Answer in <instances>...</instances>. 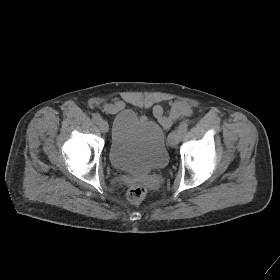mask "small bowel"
<instances>
[{"label": "small bowel", "mask_w": 280, "mask_h": 280, "mask_svg": "<svg viewBox=\"0 0 280 280\" xmlns=\"http://www.w3.org/2000/svg\"><path fill=\"white\" fill-rule=\"evenodd\" d=\"M124 106L125 103L122 100H118L113 103H105L104 105L105 110L109 113L119 111ZM153 112L155 117L165 128H170L177 119L191 115L192 109L186 102L175 100L172 102L171 108L167 113L164 112L160 105H156L153 109Z\"/></svg>", "instance_id": "small-bowel-1"}]
</instances>
